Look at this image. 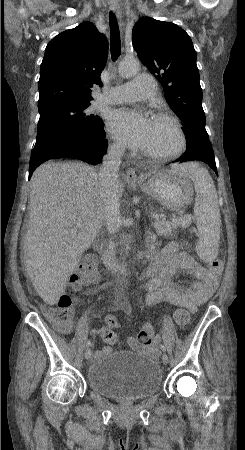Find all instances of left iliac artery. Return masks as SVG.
Listing matches in <instances>:
<instances>
[{"instance_id":"obj_1","label":"left iliac artery","mask_w":245,"mask_h":450,"mask_svg":"<svg viewBox=\"0 0 245 450\" xmlns=\"http://www.w3.org/2000/svg\"><path fill=\"white\" fill-rule=\"evenodd\" d=\"M161 350H162L163 352H165V351H166V348H165V346H164V345H161Z\"/></svg>"}]
</instances>
